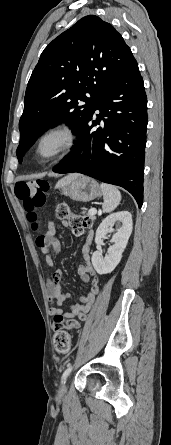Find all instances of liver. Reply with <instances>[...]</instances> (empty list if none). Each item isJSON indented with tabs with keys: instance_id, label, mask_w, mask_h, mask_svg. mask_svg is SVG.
Wrapping results in <instances>:
<instances>
[{
	"instance_id": "6515ba94",
	"label": "liver",
	"mask_w": 171,
	"mask_h": 445,
	"mask_svg": "<svg viewBox=\"0 0 171 445\" xmlns=\"http://www.w3.org/2000/svg\"><path fill=\"white\" fill-rule=\"evenodd\" d=\"M77 177V175H70V176H68L67 178H65L64 180H68V181H70V180H72V179H74V178H76Z\"/></svg>"
}]
</instances>
